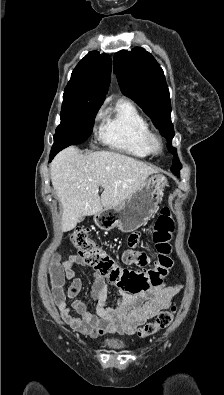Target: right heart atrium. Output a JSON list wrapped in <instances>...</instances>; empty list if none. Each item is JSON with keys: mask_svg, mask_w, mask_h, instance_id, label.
Segmentation results:
<instances>
[{"mask_svg": "<svg viewBox=\"0 0 224 395\" xmlns=\"http://www.w3.org/2000/svg\"><path fill=\"white\" fill-rule=\"evenodd\" d=\"M103 116H104V109H103V106H101L96 111L94 120L95 121H99V120H101L103 118Z\"/></svg>", "mask_w": 224, "mask_h": 395, "instance_id": "right-heart-atrium-1", "label": "right heart atrium"}]
</instances>
